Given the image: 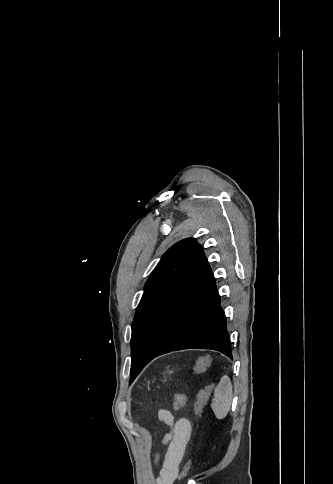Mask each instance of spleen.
I'll return each instance as SVG.
<instances>
[{
  "instance_id": "3e777b00",
  "label": "spleen",
  "mask_w": 333,
  "mask_h": 484,
  "mask_svg": "<svg viewBox=\"0 0 333 484\" xmlns=\"http://www.w3.org/2000/svg\"><path fill=\"white\" fill-rule=\"evenodd\" d=\"M232 391L230 378L227 375L223 376L214 390V400L211 403L214 415L219 420L224 419L230 410Z\"/></svg>"
}]
</instances>
